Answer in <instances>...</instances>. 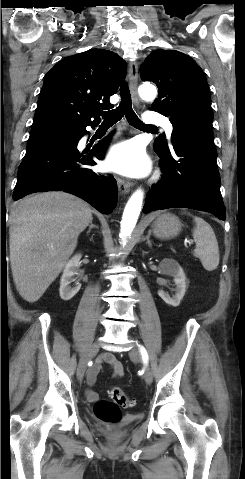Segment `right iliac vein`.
<instances>
[{
    "label": "right iliac vein",
    "instance_id": "right-iliac-vein-1",
    "mask_svg": "<svg viewBox=\"0 0 245 479\" xmlns=\"http://www.w3.org/2000/svg\"><path fill=\"white\" fill-rule=\"evenodd\" d=\"M100 347L99 342H95L91 345L86 355L80 360L77 368V378L81 382L84 378L88 361L96 355Z\"/></svg>",
    "mask_w": 245,
    "mask_h": 479
}]
</instances>
